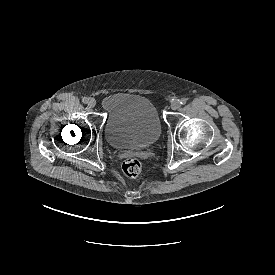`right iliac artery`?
I'll return each instance as SVG.
<instances>
[{"label": "right iliac artery", "instance_id": "right-iliac-artery-1", "mask_svg": "<svg viewBox=\"0 0 275 275\" xmlns=\"http://www.w3.org/2000/svg\"><path fill=\"white\" fill-rule=\"evenodd\" d=\"M82 101H83V103H88V101H89V98L88 97H83V99H82Z\"/></svg>", "mask_w": 275, "mask_h": 275}]
</instances>
